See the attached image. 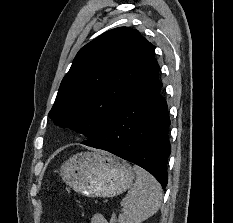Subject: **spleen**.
<instances>
[{"label": "spleen", "instance_id": "1", "mask_svg": "<svg viewBox=\"0 0 233 223\" xmlns=\"http://www.w3.org/2000/svg\"><path fill=\"white\" fill-rule=\"evenodd\" d=\"M134 169L137 173L136 183L130 187L121 201L124 209L123 213H119V223H142L144 219L154 215L161 205L163 191L159 181L141 167ZM92 223H108V221L103 215L96 213L92 217Z\"/></svg>", "mask_w": 233, "mask_h": 223}]
</instances>
